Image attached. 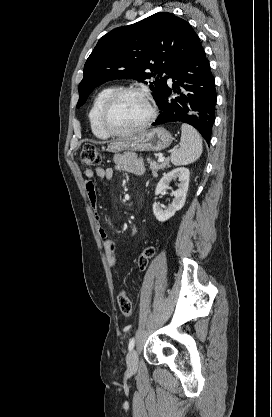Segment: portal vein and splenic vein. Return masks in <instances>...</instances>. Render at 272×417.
Wrapping results in <instances>:
<instances>
[{
  "label": "portal vein and splenic vein",
  "instance_id": "1",
  "mask_svg": "<svg viewBox=\"0 0 272 417\" xmlns=\"http://www.w3.org/2000/svg\"><path fill=\"white\" fill-rule=\"evenodd\" d=\"M164 160H165V157H163V156H160V157L158 158V162H164Z\"/></svg>",
  "mask_w": 272,
  "mask_h": 417
}]
</instances>
